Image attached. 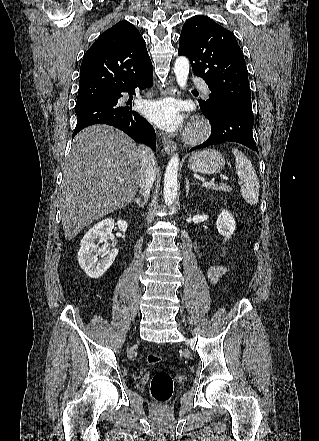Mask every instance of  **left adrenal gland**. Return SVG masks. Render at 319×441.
Listing matches in <instances>:
<instances>
[{"label": "left adrenal gland", "instance_id": "obj_1", "mask_svg": "<svg viewBox=\"0 0 319 441\" xmlns=\"http://www.w3.org/2000/svg\"><path fill=\"white\" fill-rule=\"evenodd\" d=\"M185 181H186V196H188L190 186H194L195 184L193 182L189 183V180L187 178H185Z\"/></svg>", "mask_w": 319, "mask_h": 441}]
</instances>
